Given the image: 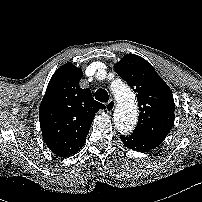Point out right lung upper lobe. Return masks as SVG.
<instances>
[{
	"instance_id": "obj_1",
	"label": "right lung upper lobe",
	"mask_w": 202,
	"mask_h": 202,
	"mask_svg": "<svg viewBox=\"0 0 202 202\" xmlns=\"http://www.w3.org/2000/svg\"><path fill=\"white\" fill-rule=\"evenodd\" d=\"M81 68L71 63L52 76L40 105L39 121L44 142L59 157L73 155L83 146L94 116L105 105L82 89Z\"/></svg>"
}]
</instances>
